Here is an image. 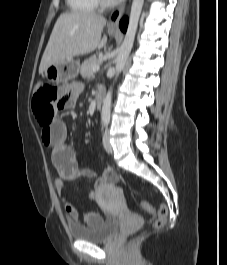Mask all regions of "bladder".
Returning a JSON list of instances; mask_svg holds the SVG:
<instances>
[{"label": "bladder", "mask_w": 227, "mask_h": 265, "mask_svg": "<svg viewBox=\"0 0 227 265\" xmlns=\"http://www.w3.org/2000/svg\"><path fill=\"white\" fill-rule=\"evenodd\" d=\"M118 228V220L114 217L102 219L96 225L70 224L69 232L73 239L99 243L108 240Z\"/></svg>", "instance_id": "bladder-1"}]
</instances>
